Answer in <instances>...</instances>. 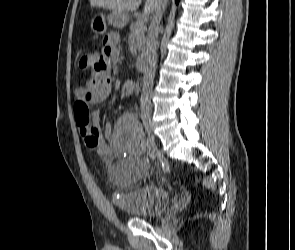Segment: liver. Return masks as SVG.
<instances>
[{
	"label": "liver",
	"instance_id": "obj_1",
	"mask_svg": "<svg viewBox=\"0 0 295 250\" xmlns=\"http://www.w3.org/2000/svg\"><path fill=\"white\" fill-rule=\"evenodd\" d=\"M156 0H146L144 10L154 12ZM142 0H90L92 7H102L117 12L135 11Z\"/></svg>",
	"mask_w": 295,
	"mask_h": 250
}]
</instances>
